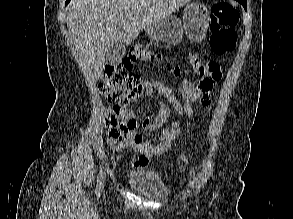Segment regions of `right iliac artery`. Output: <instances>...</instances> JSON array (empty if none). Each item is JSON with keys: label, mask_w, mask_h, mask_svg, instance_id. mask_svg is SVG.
Listing matches in <instances>:
<instances>
[{"label": "right iliac artery", "mask_w": 293, "mask_h": 219, "mask_svg": "<svg viewBox=\"0 0 293 219\" xmlns=\"http://www.w3.org/2000/svg\"><path fill=\"white\" fill-rule=\"evenodd\" d=\"M103 180H104V173L102 170L98 173V180H97V186H96V192L99 194L103 188Z\"/></svg>", "instance_id": "1"}]
</instances>
